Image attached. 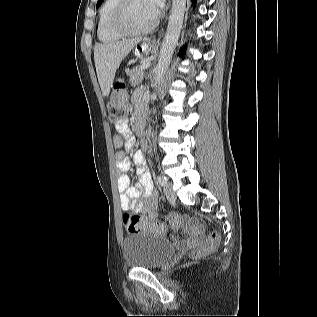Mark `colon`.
Instances as JSON below:
<instances>
[{"mask_svg":"<svg viewBox=\"0 0 317 317\" xmlns=\"http://www.w3.org/2000/svg\"><path fill=\"white\" fill-rule=\"evenodd\" d=\"M107 109L109 118L114 123L126 119V117L129 115L131 108L128 102L127 88L123 81L118 80L115 82ZM167 220L171 228H177L179 226H196V222L194 220L176 214L168 215ZM123 223L127 231L131 233L152 231L154 233L164 234L167 231L165 224L159 221H150L146 217H141L131 213H125L123 215ZM219 243V233L217 231H212L203 242H200L193 249L192 256L195 258L205 256L215 250Z\"/></svg>","mask_w":317,"mask_h":317,"instance_id":"colon-1","label":"colon"}]
</instances>
